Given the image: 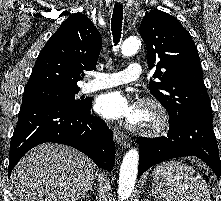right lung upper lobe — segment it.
<instances>
[{
  "label": "right lung upper lobe",
  "instance_id": "cb5924a9",
  "mask_svg": "<svg viewBox=\"0 0 221 201\" xmlns=\"http://www.w3.org/2000/svg\"><path fill=\"white\" fill-rule=\"evenodd\" d=\"M101 47V35L87 16H69L41 50L25 88H79L84 71L96 69Z\"/></svg>",
  "mask_w": 221,
  "mask_h": 201
}]
</instances>
